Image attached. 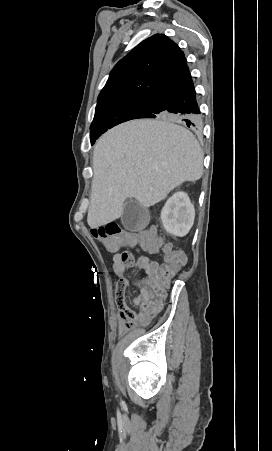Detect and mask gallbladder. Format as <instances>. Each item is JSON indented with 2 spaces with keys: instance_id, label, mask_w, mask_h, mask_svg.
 Returning a JSON list of instances; mask_svg holds the SVG:
<instances>
[{
  "instance_id": "obj_1",
  "label": "gallbladder",
  "mask_w": 272,
  "mask_h": 451,
  "mask_svg": "<svg viewBox=\"0 0 272 451\" xmlns=\"http://www.w3.org/2000/svg\"><path fill=\"white\" fill-rule=\"evenodd\" d=\"M121 222L125 229L139 231L144 229L149 222V212L136 200H127L123 206Z\"/></svg>"
}]
</instances>
